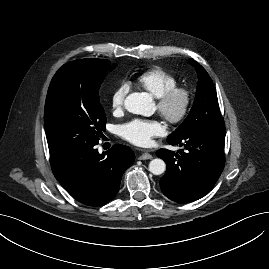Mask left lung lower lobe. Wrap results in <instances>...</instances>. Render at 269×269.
<instances>
[{
	"instance_id": "obj_1",
	"label": "left lung lower lobe",
	"mask_w": 269,
	"mask_h": 269,
	"mask_svg": "<svg viewBox=\"0 0 269 269\" xmlns=\"http://www.w3.org/2000/svg\"><path fill=\"white\" fill-rule=\"evenodd\" d=\"M167 142L183 146L185 152L175 154L167 149L156 152L167 165L160 180L162 193L180 203L202 198L214 187L224 168L225 126L197 128Z\"/></svg>"
}]
</instances>
